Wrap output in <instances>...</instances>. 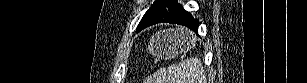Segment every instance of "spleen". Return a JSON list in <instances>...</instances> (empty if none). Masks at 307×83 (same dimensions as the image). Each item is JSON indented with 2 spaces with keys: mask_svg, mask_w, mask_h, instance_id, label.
<instances>
[{
  "mask_svg": "<svg viewBox=\"0 0 307 83\" xmlns=\"http://www.w3.org/2000/svg\"><path fill=\"white\" fill-rule=\"evenodd\" d=\"M145 83H207L201 60L192 57L168 68L159 69Z\"/></svg>",
  "mask_w": 307,
  "mask_h": 83,
  "instance_id": "obj_1",
  "label": "spleen"
}]
</instances>
